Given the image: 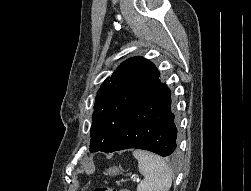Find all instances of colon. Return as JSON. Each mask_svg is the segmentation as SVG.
Wrapping results in <instances>:
<instances>
[{"label": "colon", "mask_w": 251, "mask_h": 191, "mask_svg": "<svg viewBox=\"0 0 251 191\" xmlns=\"http://www.w3.org/2000/svg\"><path fill=\"white\" fill-rule=\"evenodd\" d=\"M95 191H118V189L111 188V187H108V186H104V187H98V188H96Z\"/></svg>", "instance_id": "obj_1"}]
</instances>
